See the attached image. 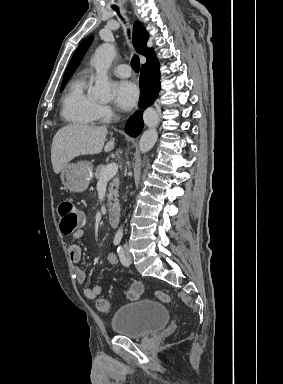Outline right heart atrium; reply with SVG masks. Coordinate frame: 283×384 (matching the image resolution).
Listing matches in <instances>:
<instances>
[{"instance_id": "1", "label": "right heart atrium", "mask_w": 283, "mask_h": 384, "mask_svg": "<svg viewBox=\"0 0 283 384\" xmlns=\"http://www.w3.org/2000/svg\"><path fill=\"white\" fill-rule=\"evenodd\" d=\"M113 115V109L107 104H100V118L107 119Z\"/></svg>"}]
</instances>
